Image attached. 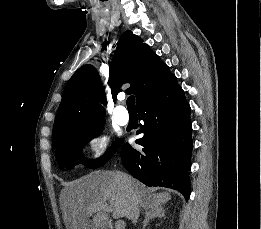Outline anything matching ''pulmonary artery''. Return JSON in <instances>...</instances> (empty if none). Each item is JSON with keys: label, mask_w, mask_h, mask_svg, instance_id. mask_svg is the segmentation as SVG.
<instances>
[{"label": "pulmonary artery", "mask_w": 261, "mask_h": 229, "mask_svg": "<svg viewBox=\"0 0 261 229\" xmlns=\"http://www.w3.org/2000/svg\"><path fill=\"white\" fill-rule=\"evenodd\" d=\"M115 118L120 123H127L129 120V114L126 108L122 105H117L115 108Z\"/></svg>", "instance_id": "pulmonary-artery-1"}]
</instances>
